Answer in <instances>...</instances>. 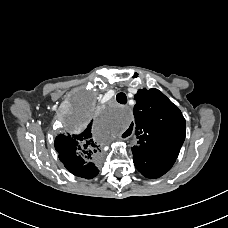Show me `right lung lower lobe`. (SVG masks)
<instances>
[{"label": "right lung lower lobe", "instance_id": "obj_1", "mask_svg": "<svg viewBox=\"0 0 228 228\" xmlns=\"http://www.w3.org/2000/svg\"><path fill=\"white\" fill-rule=\"evenodd\" d=\"M71 173H73L74 175H76V171H75V169L73 168V167H69V169H68ZM97 171H98V169H97ZM99 172V171H98ZM98 174V173H97ZM77 176V175H76Z\"/></svg>", "mask_w": 228, "mask_h": 228}]
</instances>
